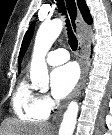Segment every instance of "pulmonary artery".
I'll return each mask as SVG.
<instances>
[{
  "label": "pulmonary artery",
  "instance_id": "obj_1",
  "mask_svg": "<svg viewBox=\"0 0 112 135\" xmlns=\"http://www.w3.org/2000/svg\"><path fill=\"white\" fill-rule=\"evenodd\" d=\"M69 59V53L63 48H57L50 51L46 56L49 65L55 66L66 62Z\"/></svg>",
  "mask_w": 112,
  "mask_h": 135
}]
</instances>
